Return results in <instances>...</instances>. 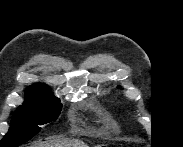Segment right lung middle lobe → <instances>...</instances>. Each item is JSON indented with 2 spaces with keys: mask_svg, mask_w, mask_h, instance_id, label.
<instances>
[{
  "mask_svg": "<svg viewBox=\"0 0 183 147\" xmlns=\"http://www.w3.org/2000/svg\"><path fill=\"white\" fill-rule=\"evenodd\" d=\"M25 101L14 112L8 133L0 146H16L37 134L43 125L55 120L62 108L60 100L51 91L26 90Z\"/></svg>",
  "mask_w": 183,
  "mask_h": 147,
  "instance_id": "obj_1",
  "label": "right lung middle lobe"
}]
</instances>
